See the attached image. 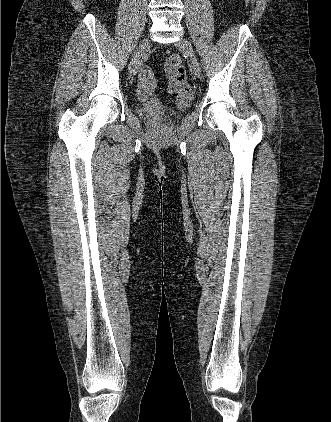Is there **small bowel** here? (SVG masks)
<instances>
[{
  "label": "small bowel",
  "mask_w": 331,
  "mask_h": 422,
  "mask_svg": "<svg viewBox=\"0 0 331 422\" xmlns=\"http://www.w3.org/2000/svg\"><path fill=\"white\" fill-rule=\"evenodd\" d=\"M155 84L151 77H143L140 72V83L138 94L141 98L146 99L151 96L154 90Z\"/></svg>",
  "instance_id": "obj_1"
}]
</instances>
